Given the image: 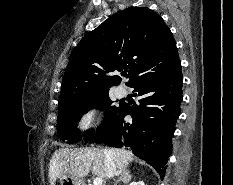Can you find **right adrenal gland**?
I'll use <instances>...</instances> for the list:
<instances>
[{
  "instance_id": "2a0ac1e0",
  "label": "right adrenal gland",
  "mask_w": 233,
  "mask_h": 185,
  "mask_svg": "<svg viewBox=\"0 0 233 185\" xmlns=\"http://www.w3.org/2000/svg\"><path fill=\"white\" fill-rule=\"evenodd\" d=\"M118 179L115 181L114 185H117L118 182L122 181L124 183H127L131 179L130 172L126 169H123L121 172L117 174Z\"/></svg>"
}]
</instances>
